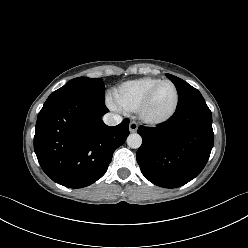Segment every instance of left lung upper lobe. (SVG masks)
Instances as JSON below:
<instances>
[{
    "instance_id": "obj_1",
    "label": "left lung upper lobe",
    "mask_w": 248,
    "mask_h": 248,
    "mask_svg": "<svg viewBox=\"0 0 248 248\" xmlns=\"http://www.w3.org/2000/svg\"><path fill=\"white\" fill-rule=\"evenodd\" d=\"M166 76L175 84L178 89L179 100L176 110L183 109L190 104L204 100L201 93L184 80L171 74H166Z\"/></svg>"
}]
</instances>
